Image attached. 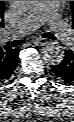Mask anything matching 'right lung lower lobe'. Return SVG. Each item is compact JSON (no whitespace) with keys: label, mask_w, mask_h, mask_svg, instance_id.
<instances>
[{"label":"right lung lower lobe","mask_w":74,"mask_h":122,"mask_svg":"<svg viewBox=\"0 0 74 122\" xmlns=\"http://www.w3.org/2000/svg\"><path fill=\"white\" fill-rule=\"evenodd\" d=\"M19 51L20 50L16 48L11 56V59L6 64H0V82L9 79L12 75L17 65Z\"/></svg>","instance_id":"1"}]
</instances>
